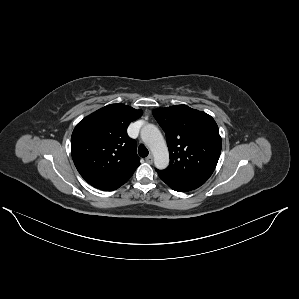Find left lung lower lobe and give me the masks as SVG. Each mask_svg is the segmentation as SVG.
<instances>
[{
  "label": "left lung lower lobe",
  "instance_id": "left-lung-lower-lobe-1",
  "mask_svg": "<svg viewBox=\"0 0 299 299\" xmlns=\"http://www.w3.org/2000/svg\"><path fill=\"white\" fill-rule=\"evenodd\" d=\"M156 171L162 181H164L173 190L178 191V192H187V191L194 190L206 182V180H203V179L172 178V177L162 174L159 170H156Z\"/></svg>",
  "mask_w": 299,
  "mask_h": 299
}]
</instances>
